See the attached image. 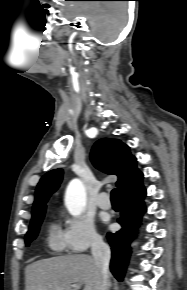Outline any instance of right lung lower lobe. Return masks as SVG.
<instances>
[{
    "mask_svg": "<svg viewBox=\"0 0 187 290\" xmlns=\"http://www.w3.org/2000/svg\"><path fill=\"white\" fill-rule=\"evenodd\" d=\"M145 193L137 198L121 201V217L118 222L122 229L115 233H108L107 240L111 246L112 258L110 270L118 281H122L130 256V241L134 237L133 228L141 221L146 211L143 198Z\"/></svg>",
    "mask_w": 187,
    "mask_h": 290,
    "instance_id": "1",
    "label": "right lung lower lobe"
}]
</instances>
